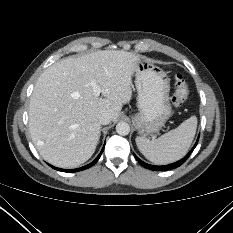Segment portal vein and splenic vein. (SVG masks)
<instances>
[{"label": "portal vein and splenic vein", "instance_id": "obj_1", "mask_svg": "<svg viewBox=\"0 0 233 233\" xmlns=\"http://www.w3.org/2000/svg\"><path fill=\"white\" fill-rule=\"evenodd\" d=\"M90 85H91L92 88H93V91H94L95 96H99L100 93H101V88H100V86H99L95 81H91V82H90Z\"/></svg>", "mask_w": 233, "mask_h": 233}]
</instances>
